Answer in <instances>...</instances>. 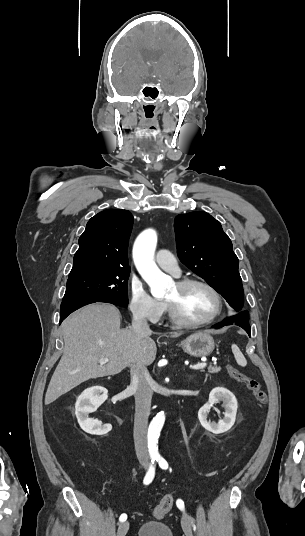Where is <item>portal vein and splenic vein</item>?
I'll use <instances>...</instances> for the list:
<instances>
[{
  "label": "portal vein and splenic vein",
  "mask_w": 305,
  "mask_h": 536,
  "mask_svg": "<svg viewBox=\"0 0 305 536\" xmlns=\"http://www.w3.org/2000/svg\"><path fill=\"white\" fill-rule=\"evenodd\" d=\"M109 362L108 358H103V360H100L99 364L103 366V364H107ZM207 364H196V366H190L192 370H203V368H206Z\"/></svg>",
  "instance_id": "obj_1"
}]
</instances>
